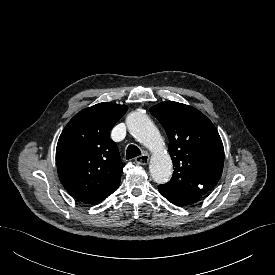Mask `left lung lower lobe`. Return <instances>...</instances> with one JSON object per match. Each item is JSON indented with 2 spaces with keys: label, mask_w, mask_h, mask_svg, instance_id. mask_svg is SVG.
<instances>
[{
  "label": "left lung lower lobe",
  "mask_w": 275,
  "mask_h": 275,
  "mask_svg": "<svg viewBox=\"0 0 275 275\" xmlns=\"http://www.w3.org/2000/svg\"><path fill=\"white\" fill-rule=\"evenodd\" d=\"M160 193L171 203L177 205V206H185V205H189V204H192V203H195L197 201H199L200 198H197V197H192V198H186V199H181V200H174V199H171L167 196L164 195V193L159 190Z\"/></svg>",
  "instance_id": "0a47b994"
}]
</instances>
